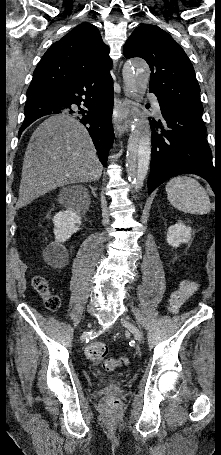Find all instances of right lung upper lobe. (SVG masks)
Segmentation results:
<instances>
[{"label": "right lung upper lobe", "mask_w": 221, "mask_h": 455, "mask_svg": "<svg viewBox=\"0 0 221 455\" xmlns=\"http://www.w3.org/2000/svg\"><path fill=\"white\" fill-rule=\"evenodd\" d=\"M111 65L109 48L98 29L90 23L79 24L43 55L27 99L45 95L73 78L102 68L109 72Z\"/></svg>", "instance_id": "1"}]
</instances>
